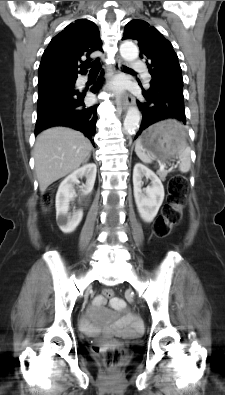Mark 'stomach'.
<instances>
[{
	"label": "stomach",
	"instance_id": "stomach-1",
	"mask_svg": "<svg viewBox=\"0 0 225 395\" xmlns=\"http://www.w3.org/2000/svg\"><path fill=\"white\" fill-rule=\"evenodd\" d=\"M143 149L160 159H169L180 152L185 131L176 120H164L148 128L140 137Z\"/></svg>",
	"mask_w": 225,
	"mask_h": 395
}]
</instances>
